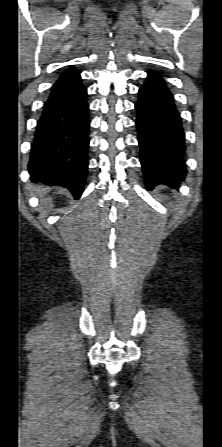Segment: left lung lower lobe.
Here are the masks:
<instances>
[{
    "mask_svg": "<svg viewBox=\"0 0 222 447\" xmlns=\"http://www.w3.org/2000/svg\"><path fill=\"white\" fill-rule=\"evenodd\" d=\"M147 73L135 104L142 170L147 189L159 183L174 186L187 172L181 118L161 76L154 71Z\"/></svg>",
    "mask_w": 222,
    "mask_h": 447,
    "instance_id": "obj_1",
    "label": "left lung lower lobe"
}]
</instances>
